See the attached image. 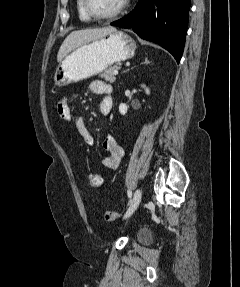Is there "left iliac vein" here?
Instances as JSON below:
<instances>
[{
  "instance_id": "4c4485c4",
  "label": "left iliac vein",
  "mask_w": 240,
  "mask_h": 287,
  "mask_svg": "<svg viewBox=\"0 0 240 287\" xmlns=\"http://www.w3.org/2000/svg\"><path fill=\"white\" fill-rule=\"evenodd\" d=\"M141 199H142V191L140 189H137L133 195L129 208L126 211L125 218L131 216L134 213V211L139 206Z\"/></svg>"
}]
</instances>
